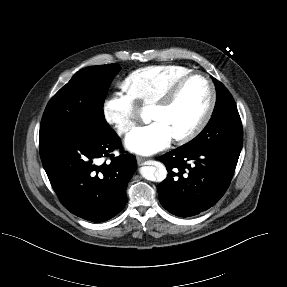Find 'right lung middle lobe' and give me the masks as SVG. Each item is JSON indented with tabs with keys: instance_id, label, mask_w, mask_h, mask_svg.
I'll use <instances>...</instances> for the list:
<instances>
[{
	"instance_id": "right-lung-middle-lobe-1",
	"label": "right lung middle lobe",
	"mask_w": 287,
	"mask_h": 287,
	"mask_svg": "<svg viewBox=\"0 0 287 287\" xmlns=\"http://www.w3.org/2000/svg\"><path fill=\"white\" fill-rule=\"evenodd\" d=\"M120 69L116 64H109L78 71L47 104L39 144L89 138L109 129L103 103L109 84Z\"/></svg>"
}]
</instances>
